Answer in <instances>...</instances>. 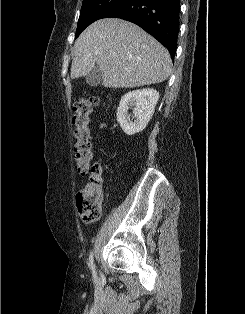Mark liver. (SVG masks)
<instances>
[{"label": "liver", "instance_id": "6515ba94", "mask_svg": "<svg viewBox=\"0 0 245 314\" xmlns=\"http://www.w3.org/2000/svg\"><path fill=\"white\" fill-rule=\"evenodd\" d=\"M95 65L107 88L161 83L172 71L165 47L139 26L118 18L92 23L75 42L71 78L86 76Z\"/></svg>", "mask_w": 245, "mask_h": 314}]
</instances>
